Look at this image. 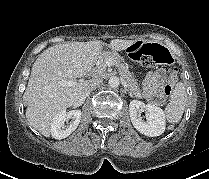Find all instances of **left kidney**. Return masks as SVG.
<instances>
[{"label": "left kidney", "mask_w": 209, "mask_h": 179, "mask_svg": "<svg viewBox=\"0 0 209 179\" xmlns=\"http://www.w3.org/2000/svg\"><path fill=\"white\" fill-rule=\"evenodd\" d=\"M140 109L147 112V122L142 120L139 114ZM129 115L134 128L145 136L156 137L165 131V114L163 110L156 105H145L141 101L132 100L129 104Z\"/></svg>", "instance_id": "5707ae66"}]
</instances>
